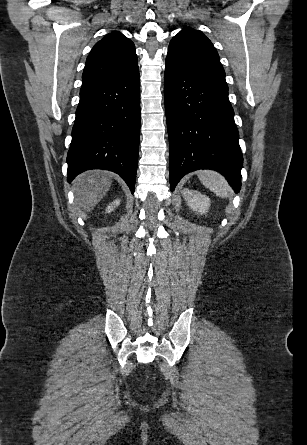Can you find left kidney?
<instances>
[{
    "mask_svg": "<svg viewBox=\"0 0 307 445\" xmlns=\"http://www.w3.org/2000/svg\"><path fill=\"white\" fill-rule=\"evenodd\" d=\"M182 196L187 200L188 206L191 210H197L199 214H204L208 212L210 206V198L206 194H201L198 190H189V188H183Z\"/></svg>",
    "mask_w": 307,
    "mask_h": 445,
    "instance_id": "obj_1",
    "label": "left kidney"
}]
</instances>
